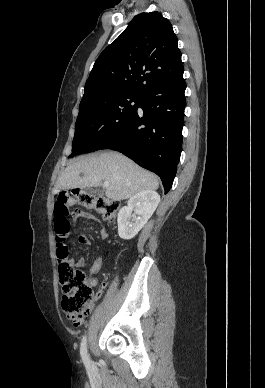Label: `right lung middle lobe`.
<instances>
[{
	"mask_svg": "<svg viewBox=\"0 0 265 388\" xmlns=\"http://www.w3.org/2000/svg\"><path fill=\"white\" fill-rule=\"evenodd\" d=\"M140 100L139 94L109 90L82 98L69 157L99 150L138 109Z\"/></svg>",
	"mask_w": 265,
	"mask_h": 388,
	"instance_id": "right-lung-middle-lobe-1",
	"label": "right lung middle lobe"
}]
</instances>
